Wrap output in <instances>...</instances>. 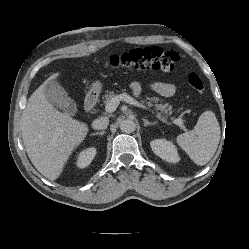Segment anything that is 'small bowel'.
Masks as SVG:
<instances>
[{"label": "small bowel", "mask_w": 249, "mask_h": 249, "mask_svg": "<svg viewBox=\"0 0 249 249\" xmlns=\"http://www.w3.org/2000/svg\"><path fill=\"white\" fill-rule=\"evenodd\" d=\"M131 89L136 95L141 93V85L138 82L131 83ZM151 89L164 97H170L175 93L176 86L171 83L154 82Z\"/></svg>", "instance_id": "obj_1"}]
</instances>
